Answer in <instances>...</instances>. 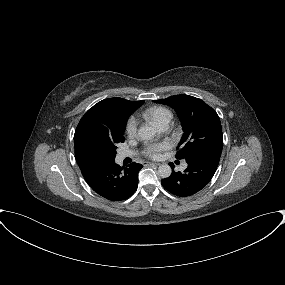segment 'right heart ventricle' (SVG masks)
<instances>
[{"instance_id":"1","label":"right heart ventricle","mask_w":285,"mask_h":285,"mask_svg":"<svg viewBox=\"0 0 285 285\" xmlns=\"http://www.w3.org/2000/svg\"><path fill=\"white\" fill-rule=\"evenodd\" d=\"M144 116L148 117L154 124L159 126L163 121L172 118V113L169 109L161 106H156L144 112Z\"/></svg>"}]
</instances>
